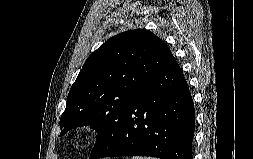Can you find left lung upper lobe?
<instances>
[{"label":"left lung upper lobe","instance_id":"left-lung-upper-lobe-1","mask_svg":"<svg viewBox=\"0 0 253 159\" xmlns=\"http://www.w3.org/2000/svg\"><path fill=\"white\" fill-rule=\"evenodd\" d=\"M174 59L168 46L145 29L108 39L84 63L72 85L60 119L61 135L91 125L98 143L108 137L123 109L135 100Z\"/></svg>","mask_w":253,"mask_h":159}]
</instances>
